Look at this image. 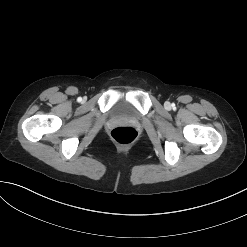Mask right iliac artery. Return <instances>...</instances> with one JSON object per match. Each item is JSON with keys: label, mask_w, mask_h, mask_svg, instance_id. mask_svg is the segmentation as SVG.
I'll return each instance as SVG.
<instances>
[{"label": "right iliac artery", "mask_w": 247, "mask_h": 247, "mask_svg": "<svg viewBox=\"0 0 247 247\" xmlns=\"http://www.w3.org/2000/svg\"><path fill=\"white\" fill-rule=\"evenodd\" d=\"M77 100H78V102H80V101L82 100V98H81V97H79Z\"/></svg>", "instance_id": "obj_1"}]
</instances>
